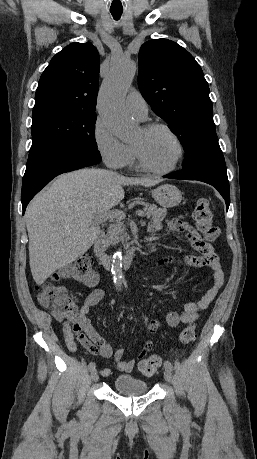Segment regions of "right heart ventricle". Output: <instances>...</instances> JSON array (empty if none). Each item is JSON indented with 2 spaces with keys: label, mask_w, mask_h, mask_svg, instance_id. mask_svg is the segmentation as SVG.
Wrapping results in <instances>:
<instances>
[{
  "label": "right heart ventricle",
  "mask_w": 257,
  "mask_h": 459,
  "mask_svg": "<svg viewBox=\"0 0 257 459\" xmlns=\"http://www.w3.org/2000/svg\"><path fill=\"white\" fill-rule=\"evenodd\" d=\"M130 149H131V158L128 162V165L134 169H141L139 163L137 162V158H136V155H135V151H134V148L133 146H130Z\"/></svg>",
  "instance_id": "e07e8e85"
}]
</instances>
